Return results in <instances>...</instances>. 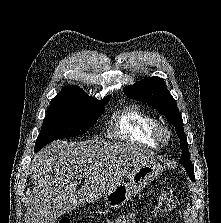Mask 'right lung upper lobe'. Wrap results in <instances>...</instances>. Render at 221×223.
<instances>
[{
  "instance_id": "1",
  "label": "right lung upper lobe",
  "mask_w": 221,
  "mask_h": 223,
  "mask_svg": "<svg viewBox=\"0 0 221 223\" xmlns=\"http://www.w3.org/2000/svg\"><path fill=\"white\" fill-rule=\"evenodd\" d=\"M107 96L104 99H108ZM86 101H97L93 97H89L85 92L78 86L68 85L66 88L62 89L55 98L51 100L50 103L59 102H86Z\"/></svg>"
}]
</instances>
